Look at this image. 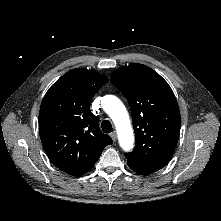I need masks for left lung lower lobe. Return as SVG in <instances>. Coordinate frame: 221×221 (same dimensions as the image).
I'll return each mask as SVG.
<instances>
[{"label":"left lung lower lobe","mask_w":221,"mask_h":221,"mask_svg":"<svg viewBox=\"0 0 221 221\" xmlns=\"http://www.w3.org/2000/svg\"><path fill=\"white\" fill-rule=\"evenodd\" d=\"M127 164L132 170H134L135 172H137L141 175H149V174L155 172L154 170L147 169V168H145L141 165H138L135 162L130 161V160L127 161Z\"/></svg>","instance_id":"1"}]
</instances>
